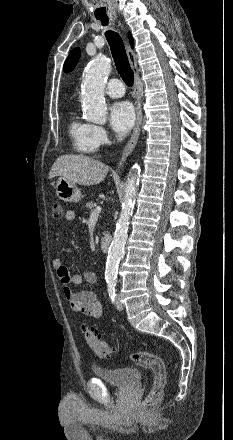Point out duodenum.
<instances>
[{"instance_id":"410a0bca","label":"duodenum","mask_w":233,"mask_h":440,"mask_svg":"<svg viewBox=\"0 0 233 440\" xmlns=\"http://www.w3.org/2000/svg\"><path fill=\"white\" fill-rule=\"evenodd\" d=\"M112 242V237L110 235H104L100 238V247L102 251H108Z\"/></svg>"}]
</instances>
